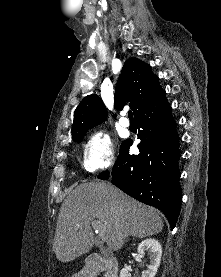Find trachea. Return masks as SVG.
Segmentation results:
<instances>
[{"label":"trachea","mask_w":221,"mask_h":277,"mask_svg":"<svg viewBox=\"0 0 221 277\" xmlns=\"http://www.w3.org/2000/svg\"><path fill=\"white\" fill-rule=\"evenodd\" d=\"M128 117H129L130 119H133L132 111H129V112H128Z\"/></svg>","instance_id":"obj_1"}]
</instances>
